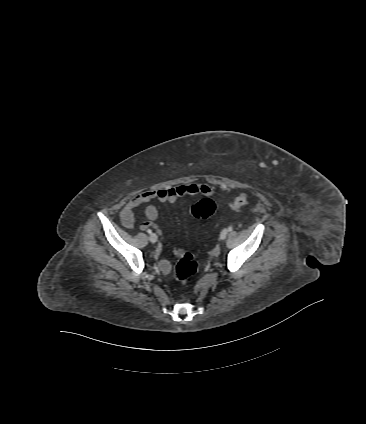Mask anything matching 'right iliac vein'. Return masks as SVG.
<instances>
[{"label":"right iliac vein","mask_w":366,"mask_h":424,"mask_svg":"<svg viewBox=\"0 0 366 424\" xmlns=\"http://www.w3.org/2000/svg\"><path fill=\"white\" fill-rule=\"evenodd\" d=\"M149 240H150V242H152V243H156V242H157V235H156V234H154V233H152V234L149 236Z\"/></svg>","instance_id":"right-iliac-vein-1"}]
</instances>
